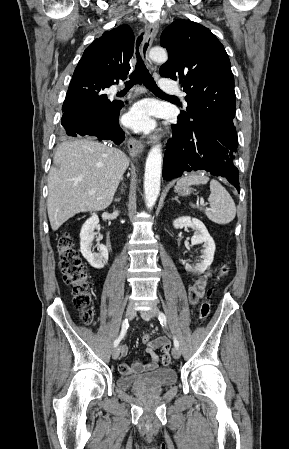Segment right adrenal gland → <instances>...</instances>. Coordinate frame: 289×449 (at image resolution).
<instances>
[{
  "mask_svg": "<svg viewBox=\"0 0 289 449\" xmlns=\"http://www.w3.org/2000/svg\"><path fill=\"white\" fill-rule=\"evenodd\" d=\"M120 200H121V198H120V197H119V198H115V199H114V201H115V202H120Z\"/></svg>",
  "mask_w": 289,
  "mask_h": 449,
  "instance_id": "obj_1",
  "label": "right adrenal gland"
}]
</instances>
